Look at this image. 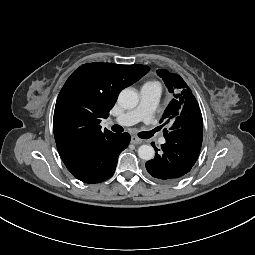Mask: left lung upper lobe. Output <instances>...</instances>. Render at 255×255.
Returning <instances> with one entry per match:
<instances>
[{"mask_svg": "<svg viewBox=\"0 0 255 255\" xmlns=\"http://www.w3.org/2000/svg\"><path fill=\"white\" fill-rule=\"evenodd\" d=\"M157 74L164 80L174 98L165 109L161 122L170 124L169 129H164V136L170 132L197 123H202V114L198 102L184 80L177 74H171L161 69Z\"/></svg>", "mask_w": 255, "mask_h": 255, "instance_id": "5c2ea615", "label": "left lung upper lobe"}]
</instances>
